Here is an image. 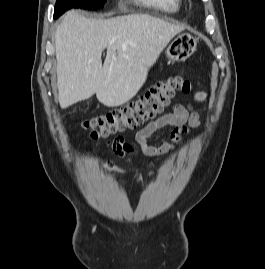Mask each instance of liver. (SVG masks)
<instances>
[{"label": "liver", "mask_w": 265, "mask_h": 269, "mask_svg": "<svg viewBox=\"0 0 265 269\" xmlns=\"http://www.w3.org/2000/svg\"><path fill=\"white\" fill-rule=\"evenodd\" d=\"M183 30L148 14L93 19L69 11L55 32L60 107L95 93L105 106L125 104L141 89L163 49Z\"/></svg>", "instance_id": "liver-1"}]
</instances>
